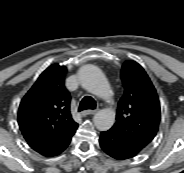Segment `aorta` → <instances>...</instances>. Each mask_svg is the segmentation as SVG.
Listing matches in <instances>:
<instances>
[{
    "label": "aorta",
    "mask_w": 184,
    "mask_h": 173,
    "mask_svg": "<svg viewBox=\"0 0 184 173\" xmlns=\"http://www.w3.org/2000/svg\"><path fill=\"white\" fill-rule=\"evenodd\" d=\"M80 82L90 93L110 101L113 92L104 74L95 66L87 65L80 71ZM95 127L100 131L109 130L115 123V112L112 109L99 110L93 117Z\"/></svg>",
    "instance_id": "1"
}]
</instances>
